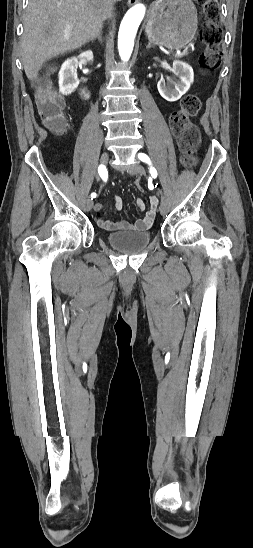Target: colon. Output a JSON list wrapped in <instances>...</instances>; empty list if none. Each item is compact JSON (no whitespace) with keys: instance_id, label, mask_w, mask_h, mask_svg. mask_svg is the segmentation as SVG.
Instances as JSON below:
<instances>
[{"instance_id":"colon-1","label":"colon","mask_w":253,"mask_h":548,"mask_svg":"<svg viewBox=\"0 0 253 548\" xmlns=\"http://www.w3.org/2000/svg\"><path fill=\"white\" fill-rule=\"evenodd\" d=\"M205 26L201 32L202 41L206 48L200 56V65L204 70H212L219 66L221 61L220 43L222 32L219 20L218 0H197ZM38 112L43 122L51 129L62 130L65 125L64 103L58 95L52 81L47 77H39L33 83ZM202 101L195 93L185 95L180 107L170 117V127L178 139L182 153V164L190 167L196 163V153L200 146L201 137L199 130L192 123L194 117L201 109ZM139 193L145 192L141 177L135 176Z\"/></svg>"}]
</instances>
